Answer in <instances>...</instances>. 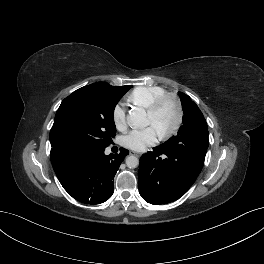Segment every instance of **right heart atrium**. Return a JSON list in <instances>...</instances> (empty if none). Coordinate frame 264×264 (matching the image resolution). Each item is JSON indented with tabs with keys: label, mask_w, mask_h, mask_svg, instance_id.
Segmentation results:
<instances>
[{
	"label": "right heart atrium",
	"mask_w": 264,
	"mask_h": 264,
	"mask_svg": "<svg viewBox=\"0 0 264 264\" xmlns=\"http://www.w3.org/2000/svg\"><path fill=\"white\" fill-rule=\"evenodd\" d=\"M112 119L115 127L118 130L122 131L126 128V113L125 109L121 105H117L113 109Z\"/></svg>",
	"instance_id": "right-heart-atrium-1"
}]
</instances>
